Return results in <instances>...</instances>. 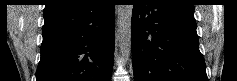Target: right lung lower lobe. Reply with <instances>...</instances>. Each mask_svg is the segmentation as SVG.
Returning a JSON list of instances; mask_svg holds the SVG:
<instances>
[{"label":"right lung lower lobe","mask_w":237,"mask_h":81,"mask_svg":"<svg viewBox=\"0 0 237 81\" xmlns=\"http://www.w3.org/2000/svg\"><path fill=\"white\" fill-rule=\"evenodd\" d=\"M114 23L111 0H79L44 13L36 81H110Z\"/></svg>","instance_id":"right-lung-lower-lobe-1"}]
</instances>
